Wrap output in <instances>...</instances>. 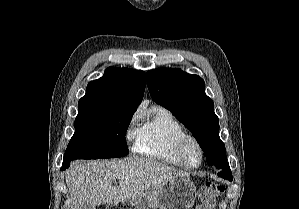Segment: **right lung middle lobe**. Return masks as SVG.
<instances>
[{"mask_svg": "<svg viewBox=\"0 0 299 209\" xmlns=\"http://www.w3.org/2000/svg\"><path fill=\"white\" fill-rule=\"evenodd\" d=\"M78 110L75 133L63 160L114 158L128 154L125 134L134 112Z\"/></svg>", "mask_w": 299, "mask_h": 209, "instance_id": "1", "label": "right lung middle lobe"}]
</instances>
